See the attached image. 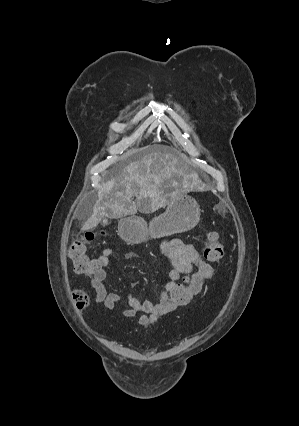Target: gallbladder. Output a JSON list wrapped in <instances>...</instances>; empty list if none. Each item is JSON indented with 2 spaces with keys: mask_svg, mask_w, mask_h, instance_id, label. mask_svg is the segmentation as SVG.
<instances>
[{
  "mask_svg": "<svg viewBox=\"0 0 299 426\" xmlns=\"http://www.w3.org/2000/svg\"><path fill=\"white\" fill-rule=\"evenodd\" d=\"M103 224L105 225V224H108V220H105V222H103Z\"/></svg>",
  "mask_w": 299,
  "mask_h": 426,
  "instance_id": "bac80fb5",
  "label": "gallbladder"
}]
</instances>
